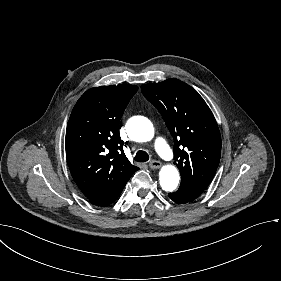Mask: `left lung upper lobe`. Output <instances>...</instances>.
<instances>
[{
    "label": "left lung upper lobe",
    "mask_w": 281,
    "mask_h": 281,
    "mask_svg": "<svg viewBox=\"0 0 281 281\" xmlns=\"http://www.w3.org/2000/svg\"><path fill=\"white\" fill-rule=\"evenodd\" d=\"M174 137L180 188L200 195L212 181L221 155V136L210 108L188 84L168 79L141 86Z\"/></svg>",
    "instance_id": "left-lung-upper-lobe-1"
}]
</instances>
